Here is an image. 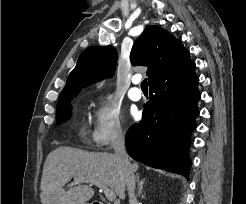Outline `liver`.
Segmentation results:
<instances>
[{
	"mask_svg": "<svg viewBox=\"0 0 246 204\" xmlns=\"http://www.w3.org/2000/svg\"><path fill=\"white\" fill-rule=\"evenodd\" d=\"M133 172L137 162L130 163ZM74 177V185H65ZM83 179H98L113 189L120 199L125 198L126 182L123 167L110 153L87 152L71 147H58L46 158L41 178L42 204H86L94 190Z\"/></svg>",
	"mask_w": 246,
	"mask_h": 204,
	"instance_id": "obj_1",
	"label": "liver"
}]
</instances>
